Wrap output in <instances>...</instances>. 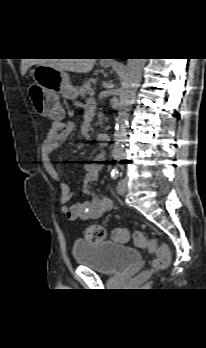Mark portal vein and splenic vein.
<instances>
[{
	"label": "portal vein and splenic vein",
	"instance_id": "obj_1",
	"mask_svg": "<svg viewBox=\"0 0 206 348\" xmlns=\"http://www.w3.org/2000/svg\"><path fill=\"white\" fill-rule=\"evenodd\" d=\"M95 95V90H91L90 96L93 97Z\"/></svg>",
	"mask_w": 206,
	"mask_h": 348
}]
</instances>
